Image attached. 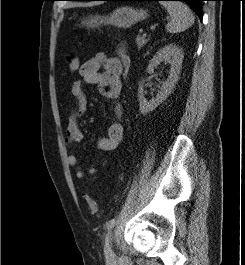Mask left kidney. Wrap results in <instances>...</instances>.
<instances>
[{
  "mask_svg": "<svg viewBox=\"0 0 245 265\" xmlns=\"http://www.w3.org/2000/svg\"><path fill=\"white\" fill-rule=\"evenodd\" d=\"M183 57V52L178 46L175 44H169L160 49L149 61V65L147 67L148 73H153L154 69L163 61L170 64V71L168 79L162 83V87L160 88V91H158L156 97L149 101L144 96L143 82H139L138 101L141 114L145 115L153 111L171 94L181 72Z\"/></svg>",
  "mask_w": 245,
  "mask_h": 265,
  "instance_id": "obj_1",
  "label": "left kidney"
}]
</instances>
